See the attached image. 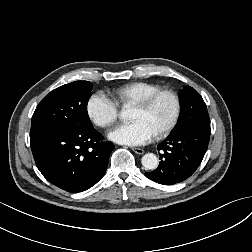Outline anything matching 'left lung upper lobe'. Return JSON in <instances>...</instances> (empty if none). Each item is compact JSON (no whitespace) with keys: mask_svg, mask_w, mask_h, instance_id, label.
<instances>
[{"mask_svg":"<svg viewBox=\"0 0 252 252\" xmlns=\"http://www.w3.org/2000/svg\"><path fill=\"white\" fill-rule=\"evenodd\" d=\"M181 114L178 125L171 135L178 134L191 127H210L206 104L200 94L192 87L185 86L179 94Z\"/></svg>","mask_w":252,"mask_h":252,"instance_id":"1","label":"left lung upper lobe"}]
</instances>
